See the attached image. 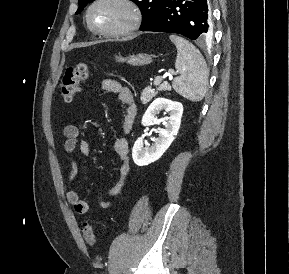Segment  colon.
Masks as SVG:
<instances>
[{
  "mask_svg": "<svg viewBox=\"0 0 289 274\" xmlns=\"http://www.w3.org/2000/svg\"><path fill=\"white\" fill-rule=\"evenodd\" d=\"M89 67L85 63H80L75 67H70L64 72L60 83V96L64 102H71L78 93L80 84L88 77ZM84 240L89 245L96 243V235L92 226L84 222L82 227Z\"/></svg>",
  "mask_w": 289,
  "mask_h": 274,
  "instance_id": "5ec220e1",
  "label": "colon"
}]
</instances>
